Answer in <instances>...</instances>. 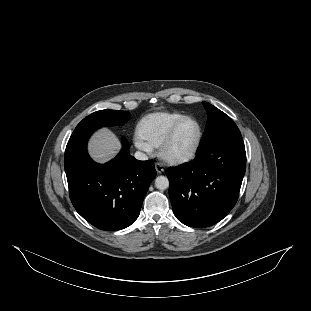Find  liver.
I'll return each instance as SVG.
<instances>
[{
    "instance_id": "obj_1",
    "label": "liver",
    "mask_w": 311,
    "mask_h": 311,
    "mask_svg": "<svg viewBox=\"0 0 311 311\" xmlns=\"http://www.w3.org/2000/svg\"><path fill=\"white\" fill-rule=\"evenodd\" d=\"M121 148L117 136L107 128L97 131L90 139L88 149L91 157L105 163L113 158Z\"/></svg>"
}]
</instances>
